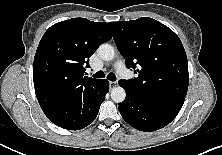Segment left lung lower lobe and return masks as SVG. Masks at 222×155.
I'll return each mask as SVG.
<instances>
[{
  "instance_id": "left-lung-lower-lobe-1",
  "label": "left lung lower lobe",
  "mask_w": 222,
  "mask_h": 155,
  "mask_svg": "<svg viewBox=\"0 0 222 155\" xmlns=\"http://www.w3.org/2000/svg\"><path fill=\"white\" fill-rule=\"evenodd\" d=\"M126 91V99L119 103V112L123 119L140 131L151 132L168 125L179 113V109L156 103Z\"/></svg>"
}]
</instances>
